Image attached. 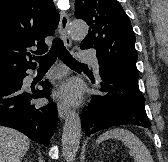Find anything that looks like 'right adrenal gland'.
<instances>
[{
	"mask_svg": "<svg viewBox=\"0 0 168 162\" xmlns=\"http://www.w3.org/2000/svg\"><path fill=\"white\" fill-rule=\"evenodd\" d=\"M24 162H28V160L26 159Z\"/></svg>",
	"mask_w": 168,
	"mask_h": 162,
	"instance_id": "obj_1",
	"label": "right adrenal gland"
}]
</instances>
